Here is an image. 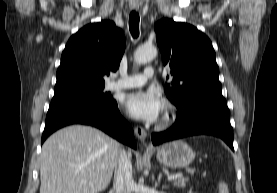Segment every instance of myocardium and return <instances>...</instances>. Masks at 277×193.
<instances>
[{
  "instance_id": "obj_1",
  "label": "myocardium",
  "mask_w": 277,
  "mask_h": 193,
  "mask_svg": "<svg viewBox=\"0 0 277 193\" xmlns=\"http://www.w3.org/2000/svg\"><path fill=\"white\" fill-rule=\"evenodd\" d=\"M176 118V107L170 101L164 102V111L156 127L163 129L168 127Z\"/></svg>"
}]
</instances>
